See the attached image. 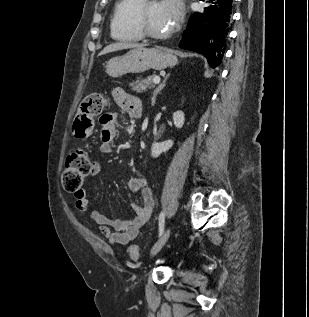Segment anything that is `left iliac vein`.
Masks as SVG:
<instances>
[{
	"mask_svg": "<svg viewBox=\"0 0 309 317\" xmlns=\"http://www.w3.org/2000/svg\"><path fill=\"white\" fill-rule=\"evenodd\" d=\"M170 233H171V229L167 228L165 232L161 235V237L157 240V242L154 244V246L152 247L150 256L156 255L162 249V247L167 242L170 236Z\"/></svg>",
	"mask_w": 309,
	"mask_h": 317,
	"instance_id": "1",
	"label": "left iliac vein"
}]
</instances>
